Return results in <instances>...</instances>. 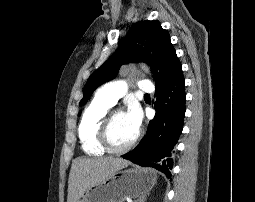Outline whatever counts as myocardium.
Returning <instances> with one entry per match:
<instances>
[{"instance_id":"1","label":"myocardium","mask_w":255,"mask_h":202,"mask_svg":"<svg viewBox=\"0 0 255 202\" xmlns=\"http://www.w3.org/2000/svg\"><path fill=\"white\" fill-rule=\"evenodd\" d=\"M116 113H123V112L120 110H109L106 112V114L102 118L99 129H98V142L106 151L110 153L120 154V153H124L128 151L136 144V142L138 141L140 137V133L137 132L135 137L126 145L121 147L115 146L111 141L110 129H111L113 117Z\"/></svg>"}]
</instances>
